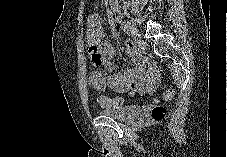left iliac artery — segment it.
Instances as JSON below:
<instances>
[{
	"label": "left iliac artery",
	"instance_id": "left-iliac-artery-1",
	"mask_svg": "<svg viewBox=\"0 0 227 157\" xmlns=\"http://www.w3.org/2000/svg\"><path fill=\"white\" fill-rule=\"evenodd\" d=\"M122 27L124 28V30H129L130 29V25L126 22H122Z\"/></svg>",
	"mask_w": 227,
	"mask_h": 157
}]
</instances>
